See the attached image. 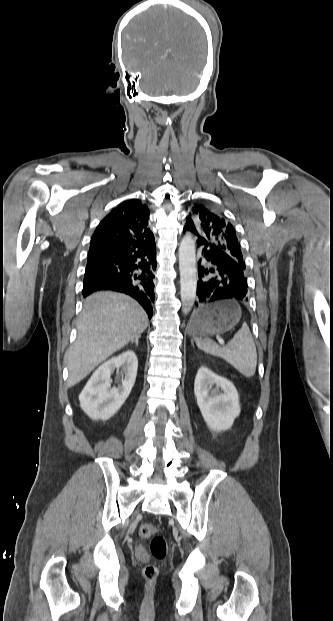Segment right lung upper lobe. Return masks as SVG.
Masks as SVG:
<instances>
[{"label":"right lung upper lobe","mask_w":333,"mask_h":621,"mask_svg":"<svg viewBox=\"0 0 333 621\" xmlns=\"http://www.w3.org/2000/svg\"><path fill=\"white\" fill-rule=\"evenodd\" d=\"M149 209L138 199H130L114 208L97 226L89 253L100 251L134 252L154 245L148 227Z\"/></svg>","instance_id":"right-lung-upper-lobe-1"}]
</instances>
